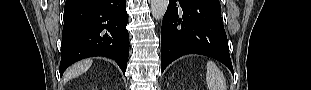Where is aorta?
<instances>
[{"label":"aorta","mask_w":311,"mask_h":90,"mask_svg":"<svg viewBox=\"0 0 311 90\" xmlns=\"http://www.w3.org/2000/svg\"><path fill=\"white\" fill-rule=\"evenodd\" d=\"M168 0H151V13L156 20H160L166 13Z\"/></svg>","instance_id":"aorta-1"}]
</instances>
